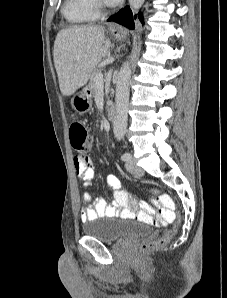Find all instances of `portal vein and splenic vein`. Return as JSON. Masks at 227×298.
<instances>
[{
    "mask_svg": "<svg viewBox=\"0 0 227 298\" xmlns=\"http://www.w3.org/2000/svg\"><path fill=\"white\" fill-rule=\"evenodd\" d=\"M103 73H99L96 77H95V83L97 84V86H102L103 85Z\"/></svg>",
    "mask_w": 227,
    "mask_h": 298,
    "instance_id": "18ae733b",
    "label": "portal vein and splenic vein"
}]
</instances>
